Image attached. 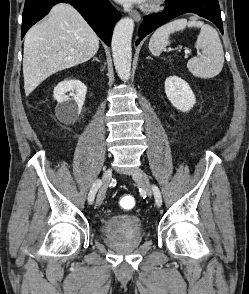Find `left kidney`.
I'll list each match as a JSON object with an SVG mask.
<instances>
[{
  "label": "left kidney",
  "instance_id": "obj_1",
  "mask_svg": "<svg viewBox=\"0 0 249 294\" xmlns=\"http://www.w3.org/2000/svg\"><path fill=\"white\" fill-rule=\"evenodd\" d=\"M165 94L178 110L187 112L196 103L195 95L189 84L177 76H170L165 81Z\"/></svg>",
  "mask_w": 249,
  "mask_h": 294
}]
</instances>
